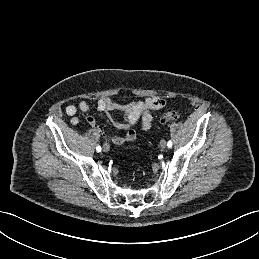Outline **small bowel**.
I'll list each match as a JSON object with an SVG mask.
<instances>
[{
  "mask_svg": "<svg viewBox=\"0 0 259 259\" xmlns=\"http://www.w3.org/2000/svg\"><path fill=\"white\" fill-rule=\"evenodd\" d=\"M165 106V101L159 97H147L140 101H134L127 104H120L114 102L110 98H101L94 105H90L85 101H81L77 106L68 105L65 109L66 114L71 117L70 122L77 124L79 118L76 116L78 111L89 112L91 109H95L99 112L107 113L110 120L119 129L124 131L123 134H110L105 133L106 139L116 145H123L130 143L136 139V132L132 129L138 122L141 124V128L147 131L151 128L153 123L152 112L160 110ZM114 112H119L123 116V121H117L114 117ZM86 121L95 126L97 124L96 119L92 116H88Z\"/></svg>",
  "mask_w": 259,
  "mask_h": 259,
  "instance_id": "obj_1",
  "label": "small bowel"
}]
</instances>
